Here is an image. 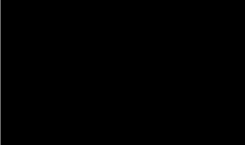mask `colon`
Returning <instances> with one entry per match:
<instances>
[{
	"instance_id": "colon-1",
	"label": "colon",
	"mask_w": 245,
	"mask_h": 145,
	"mask_svg": "<svg viewBox=\"0 0 245 145\" xmlns=\"http://www.w3.org/2000/svg\"><path fill=\"white\" fill-rule=\"evenodd\" d=\"M193 38L195 36L193 35ZM201 50V51H200ZM195 52L201 53V60L197 68L191 73V78L202 88L211 83L213 74V57L204 40H201V47H195Z\"/></svg>"
}]
</instances>
